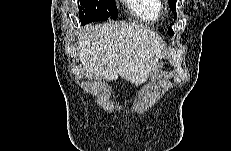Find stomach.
I'll list each match as a JSON object with an SVG mask.
<instances>
[{"mask_svg": "<svg viewBox=\"0 0 231 151\" xmlns=\"http://www.w3.org/2000/svg\"><path fill=\"white\" fill-rule=\"evenodd\" d=\"M162 67H163V61L159 60V62L156 64L155 68H154V71L157 72V71H161L162 70Z\"/></svg>", "mask_w": 231, "mask_h": 151, "instance_id": "0dacf381", "label": "stomach"}]
</instances>
